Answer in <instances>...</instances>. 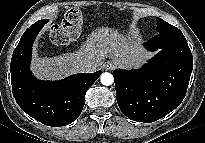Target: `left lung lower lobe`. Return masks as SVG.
<instances>
[{
    "label": "left lung lower lobe",
    "mask_w": 205,
    "mask_h": 143,
    "mask_svg": "<svg viewBox=\"0 0 205 143\" xmlns=\"http://www.w3.org/2000/svg\"><path fill=\"white\" fill-rule=\"evenodd\" d=\"M145 46L160 50L139 70L113 72L120 110L133 121L153 122L175 108L185 97L193 58L182 32H161Z\"/></svg>",
    "instance_id": "0a47b994"
}]
</instances>
